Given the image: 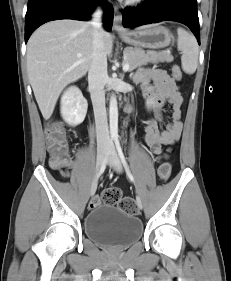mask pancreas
<instances>
[{
  "mask_svg": "<svg viewBox=\"0 0 231 281\" xmlns=\"http://www.w3.org/2000/svg\"><path fill=\"white\" fill-rule=\"evenodd\" d=\"M124 62L128 63L129 71L148 63L172 62L173 56L166 52L145 51L141 48L126 47L123 51Z\"/></svg>",
  "mask_w": 231,
  "mask_h": 281,
  "instance_id": "pancreas-1",
  "label": "pancreas"
}]
</instances>
